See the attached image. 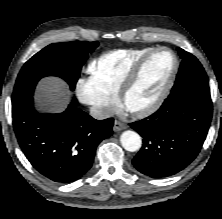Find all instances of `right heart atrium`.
<instances>
[{
  "mask_svg": "<svg viewBox=\"0 0 222 219\" xmlns=\"http://www.w3.org/2000/svg\"><path fill=\"white\" fill-rule=\"evenodd\" d=\"M74 91L78 100L101 118L107 117L114 110L115 100L101 94L90 79H78Z\"/></svg>",
  "mask_w": 222,
  "mask_h": 219,
  "instance_id": "obj_1",
  "label": "right heart atrium"
}]
</instances>
